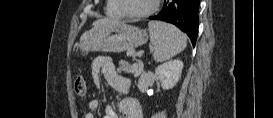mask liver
<instances>
[{"instance_id":"liver-1","label":"liver","mask_w":273,"mask_h":118,"mask_svg":"<svg viewBox=\"0 0 273 118\" xmlns=\"http://www.w3.org/2000/svg\"><path fill=\"white\" fill-rule=\"evenodd\" d=\"M113 22H115V21L110 20V19H100V20H96L93 23V26L98 27V26L107 25V24H110V23H113Z\"/></svg>"}]
</instances>
